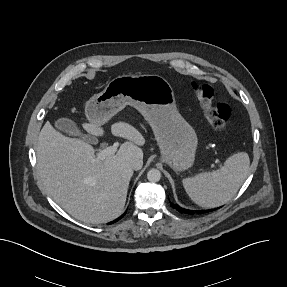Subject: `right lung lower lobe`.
Segmentation results:
<instances>
[{
	"instance_id": "1",
	"label": "right lung lower lobe",
	"mask_w": 287,
	"mask_h": 287,
	"mask_svg": "<svg viewBox=\"0 0 287 287\" xmlns=\"http://www.w3.org/2000/svg\"><path fill=\"white\" fill-rule=\"evenodd\" d=\"M123 216H124V215H122L121 217H119L118 219L114 220V221L111 222V223H114V222L118 221V220L121 219Z\"/></svg>"
}]
</instances>
